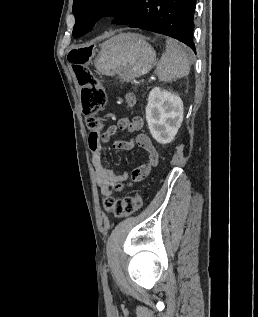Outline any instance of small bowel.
Listing matches in <instances>:
<instances>
[{
  "label": "small bowel",
  "mask_w": 258,
  "mask_h": 317,
  "mask_svg": "<svg viewBox=\"0 0 258 317\" xmlns=\"http://www.w3.org/2000/svg\"><path fill=\"white\" fill-rule=\"evenodd\" d=\"M142 128V118L135 116L132 119L121 118L116 125L107 127L103 132L90 133L88 144L91 151L92 165L94 167V178L103 195L109 196L122 191L131 186L133 182L144 179L150 171L158 165L159 152L151 138L141 132ZM121 131H127L134 134V136L130 140H116L113 143V147L116 150H130L134 146H139L147 152V160L131 171H125L121 175H116L111 169L105 166L102 149L111 136Z\"/></svg>",
  "instance_id": "1"
}]
</instances>
